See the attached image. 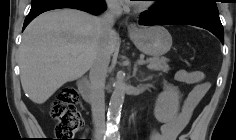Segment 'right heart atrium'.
<instances>
[{
    "label": "right heart atrium",
    "instance_id": "1",
    "mask_svg": "<svg viewBox=\"0 0 236 140\" xmlns=\"http://www.w3.org/2000/svg\"><path fill=\"white\" fill-rule=\"evenodd\" d=\"M108 6L113 10H118L120 5L116 1H108Z\"/></svg>",
    "mask_w": 236,
    "mask_h": 140
}]
</instances>
